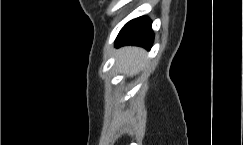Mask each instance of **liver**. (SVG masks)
Here are the masks:
<instances>
[{"instance_id": "obj_1", "label": "liver", "mask_w": 243, "mask_h": 145, "mask_svg": "<svg viewBox=\"0 0 243 145\" xmlns=\"http://www.w3.org/2000/svg\"><path fill=\"white\" fill-rule=\"evenodd\" d=\"M144 50L137 47H125L118 51V66L128 76L136 75L143 65Z\"/></svg>"}]
</instances>
